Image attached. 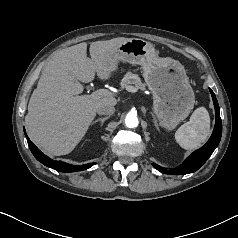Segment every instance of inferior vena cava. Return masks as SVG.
<instances>
[{
  "mask_svg": "<svg viewBox=\"0 0 238 238\" xmlns=\"http://www.w3.org/2000/svg\"><path fill=\"white\" fill-rule=\"evenodd\" d=\"M115 112L114 106L101 105L97 108V113L100 115H112Z\"/></svg>",
  "mask_w": 238,
  "mask_h": 238,
  "instance_id": "1",
  "label": "inferior vena cava"
}]
</instances>
